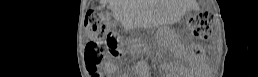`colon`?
I'll return each instance as SVG.
<instances>
[{
    "label": "colon",
    "mask_w": 258,
    "mask_h": 77,
    "mask_svg": "<svg viewBox=\"0 0 258 77\" xmlns=\"http://www.w3.org/2000/svg\"><path fill=\"white\" fill-rule=\"evenodd\" d=\"M213 16L209 12H199L189 20V28L194 36L207 39L211 34ZM90 41L86 47V63L91 73L96 72L103 60L104 51L117 53L127 47V42L114 30L115 21L105 11L91 10L85 16Z\"/></svg>",
    "instance_id": "colon-1"
}]
</instances>
